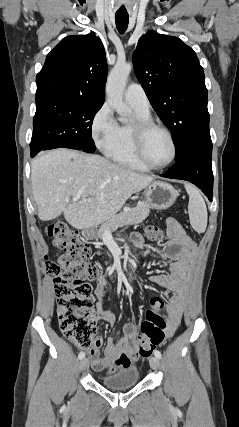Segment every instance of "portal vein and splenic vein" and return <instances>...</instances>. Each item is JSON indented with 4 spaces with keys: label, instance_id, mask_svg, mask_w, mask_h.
I'll return each mask as SVG.
<instances>
[{
    "label": "portal vein and splenic vein",
    "instance_id": "18ae733b",
    "mask_svg": "<svg viewBox=\"0 0 239 427\" xmlns=\"http://www.w3.org/2000/svg\"><path fill=\"white\" fill-rule=\"evenodd\" d=\"M79 198H80V195H76L73 197V201H77V200H79Z\"/></svg>",
    "mask_w": 239,
    "mask_h": 427
}]
</instances>
